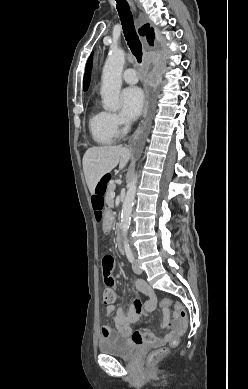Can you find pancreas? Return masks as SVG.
Wrapping results in <instances>:
<instances>
[{
	"mask_svg": "<svg viewBox=\"0 0 248 389\" xmlns=\"http://www.w3.org/2000/svg\"><path fill=\"white\" fill-rule=\"evenodd\" d=\"M115 183L114 182H110L108 184V188H107V192H106V197H105V202L106 204L108 205L109 208H111L113 206V199L111 198V194L114 192L115 190Z\"/></svg>",
	"mask_w": 248,
	"mask_h": 389,
	"instance_id": "1",
	"label": "pancreas"
}]
</instances>
